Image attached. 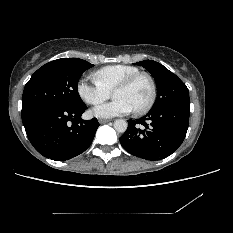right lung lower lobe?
Listing matches in <instances>:
<instances>
[{
	"instance_id": "98d812e1",
	"label": "right lung lower lobe",
	"mask_w": 233,
	"mask_h": 233,
	"mask_svg": "<svg viewBox=\"0 0 233 233\" xmlns=\"http://www.w3.org/2000/svg\"><path fill=\"white\" fill-rule=\"evenodd\" d=\"M87 106L76 108L43 105L22 113L27 137L33 147L55 161L71 159L92 143L99 123L81 119Z\"/></svg>"
}]
</instances>
